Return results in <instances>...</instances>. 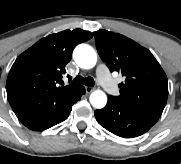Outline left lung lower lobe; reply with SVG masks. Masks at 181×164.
Segmentation results:
<instances>
[{"mask_svg":"<svg viewBox=\"0 0 181 164\" xmlns=\"http://www.w3.org/2000/svg\"><path fill=\"white\" fill-rule=\"evenodd\" d=\"M98 123L111 133L134 138L147 132L159 119V116L119 101L109 96L107 105L95 111Z\"/></svg>","mask_w":181,"mask_h":164,"instance_id":"left-lung-lower-lobe-1","label":"left lung lower lobe"}]
</instances>
